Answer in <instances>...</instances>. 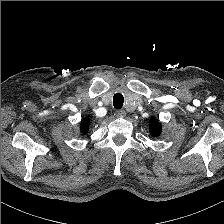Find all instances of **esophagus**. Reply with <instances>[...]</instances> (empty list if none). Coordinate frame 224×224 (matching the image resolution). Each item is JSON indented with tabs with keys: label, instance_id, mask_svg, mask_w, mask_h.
<instances>
[{
	"label": "esophagus",
	"instance_id": "obj_1",
	"mask_svg": "<svg viewBox=\"0 0 224 224\" xmlns=\"http://www.w3.org/2000/svg\"><path fill=\"white\" fill-rule=\"evenodd\" d=\"M115 115H116L117 117H125V116H126V112H125V110L120 109V110H117V111L115 112Z\"/></svg>",
	"mask_w": 224,
	"mask_h": 224
}]
</instances>
